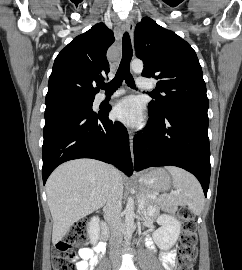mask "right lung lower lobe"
Returning a JSON list of instances; mask_svg holds the SVG:
<instances>
[{"label":"right lung lower lobe","mask_w":242,"mask_h":270,"mask_svg":"<svg viewBox=\"0 0 242 270\" xmlns=\"http://www.w3.org/2000/svg\"><path fill=\"white\" fill-rule=\"evenodd\" d=\"M110 109L95 113L83 104H74L45 111L44 184L58 165L77 158L111 163L126 175H132L128 132L122 123L108 120Z\"/></svg>","instance_id":"obj_1"}]
</instances>
